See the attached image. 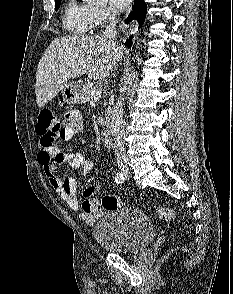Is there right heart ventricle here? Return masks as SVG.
Instances as JSON below:
<instances>
[{
	"label": "right heart ventricle",
	"mask_w": 233,
	"mask_h": 294,
	"mask_svg": "<svg viewBox=\"0 0 233 294\" xmlns=\"http://www.w3.org/2000/svg\"><path fill=\"white\" fill-rule=\"evenodd\" d=\"M66 31L74 35H85L93 28L91 7L78 0H67L62 15Z\"/></svg>",
	"instance_id": "1"
}]
</instances>
